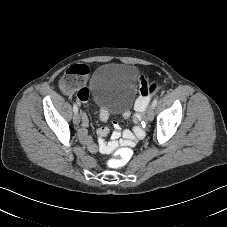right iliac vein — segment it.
I'll list each match as a JSON object with an SVG mask.
<instances>
[{"label": "right iliac vein", "instance_id": "right-iliac-vein-1", "mask_svg": "<svg viewBox=\"0 0 227 227\" xmlns=\"http://www.w3.org/2000/svg\"><path fill=\"white\" fill-rule=\"evenodd\" d=\"M80 120H81L80 115L79 114H75L74 117H73V123L75 125H78L80 123Z\"/></svg>", "mask_w": 227, "mask_h": 227}]
</instances>
